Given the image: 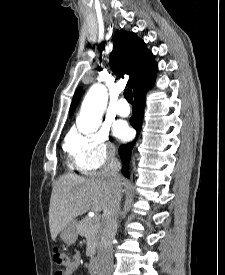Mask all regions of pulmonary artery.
I'll return each mask as SVG.
<instances>
[{
  "label": "pulmonary artery",
  "instance_id": "1",
  "mask_svg": "<svg viewBox=\"0 0 225 275\" xmlns=\"http://www.w3.org/2000/svg\"><path fill=\"white\" fill-rule=\"evenodd\" d=\"M116 115L120 117H127L130 113V107L128 106L126 100L120 99L115 108Z\"/></svg>",
  "mask_w": 225,
  "mask_h": 275
}]
</instances>
